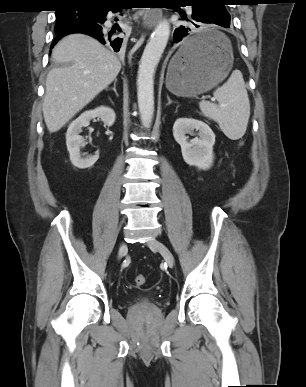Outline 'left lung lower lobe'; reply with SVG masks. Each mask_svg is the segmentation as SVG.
<instances>
[{"mask_svg": "<svg viewBox=\"0 0 306 387\" xmlns=\"http://www.w3.org/2000/svg\"><path fill=\"white\" fill-rule=\"evenodd\" d=\"M187 5L193 8L192 16L187 17L183 11L177 10L185 24L175 29L173 40L176 43L182 41V56L184 59L190 60L209 51L214 42V37L211 34H203L198 38H191L190 34L193 26L198 28L200 25H197V23H209L229 28L230 22L216 19L207 4L192 5L191 3H186Z\"/></svg>", "mask_w": 306, "mask_h": 387, "instance_id": "0a47b994", "label": "left lung lower lobe"}]
</instances>
